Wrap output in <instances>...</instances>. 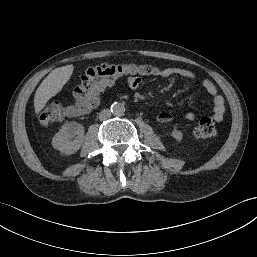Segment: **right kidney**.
Segmentation results:
<instances>
[{
	"label": "right kidney",
	"mask_w": 257,
	"mask_h": 257,
	"mask_svg": "<svg viewBox=\"0 0 257 257\" xmlns=\"http://www.w3.org/2000/svg\"><path fill=\"white\" fill-rule=\"evenodd\" d=\"M84 127L76 122H67L52 138V146L69 155L77 152L83 143Z\"/></svg>",
	"instance_id": "right-kidney-1"
}]
</instances>
